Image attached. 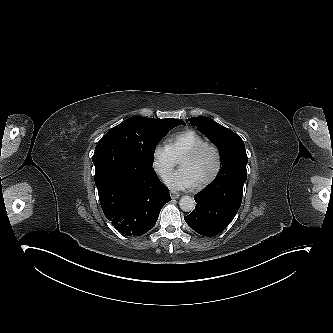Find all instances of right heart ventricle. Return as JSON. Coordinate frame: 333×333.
Segmentation results:
<instances>
[{"instance_id":"obj_1","label":"right heart ventricle","mask_w":333,"mask_h":333,"mask_svg":"<svg viewBox=\"0 0 333 333\" xmlns=\"http://www.w3.org/2000/svg\"><path fill=\"white\" fill-rule=\"evenodd\" d=\"M204 142V138L193 130H186L174 136L168 143V148L177 161L194 147Z\"/></svg>"}]
</instances>
